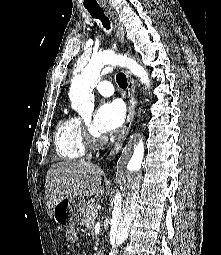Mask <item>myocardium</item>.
<instances>
[{"label": "myocardium", "mask_w": 221, "mask_h": 255, "mask_svg": "<svg viewBox=\"0 0 221 255\" xmlns=\"http://www.w3.org/2000/svg\"><path fill=\"white\" fill-rule=\"evenodd\" d=\"M85 138L86 142L91 146V147H97L101 145L104 142V139L94 133L89 127L85 128Z\"/></svg>", "instance_id": "obj_1"}]
</instances>
